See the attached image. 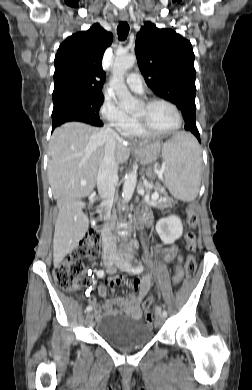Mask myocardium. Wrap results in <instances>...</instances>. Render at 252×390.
<instances>
[{
    "label": "myocardium",
    "mask_w": 252,
    "mask_h": 390,
    "mask_svg": "<svg viewBox=\"0 0 252 390\" xmlns=\"http://www.w3.org/2000/svg\"><path fill=\"white\" fill-rule=\"evenodd\" d=\"M158 103H164L173 109V111L176 114V118H177V122H176L175 126L169 130H166V131H157V130H154L153 128H151L146 121L136 117L135 120H136L137 126L142 132H144L145 134L152 136V137H161V136L171 135L181 128L182 122H183L182 114H181V112L176 104H174L173 102H171L167 99H164V98H154V99L147 100L143 103V106L146 109H149Z\"/></svg>",
    "instance_id": "obj_1"
}]
</instances>
